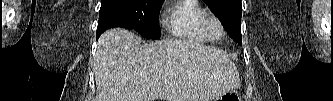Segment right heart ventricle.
I'll use <instances>...</instances> for the list:
<instances>
[{"mask_svg": "<svg viewBox=\"0 0 333 101\" xmlns=\"http://www.w3.org/2000/svg\"><path fill=\"white\" fill-rule=\"evenodd\" d=\"M205 9L196 0H179L168 12L167 30L176 38L186 41L207 43L211 38L201 26Z\"/></svg>", "mask_w": 333, "mask_h": 101, "instance_id": "e07e8e85", "label": "right heart ventricle"}]
</instances>
